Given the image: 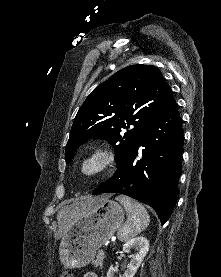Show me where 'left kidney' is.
Returning <instances> with one entry per match:
<instances>
[{
    "mask_svg": "<svg viewBox=\"0 0 221 277\" xmlns=\"http://www.w3.org/2000/svg\"><path fill=\"white\" fill-rule=\"evenodd\" d=\"M132 248L136 250V253L131 258L124 275L120 277H134L137 269L140 267L144 257L149 251V241L143 236L132 238L124 244L123 251L129 253ZM116 273L117 269L112 265L108 270L107 277H116Z\"/></svg>",
    "mask_w": 221,
    "mask_h": 277,
    "instance_id": "left-kidney-1",
    "label": "left kidney"
}]
</instances>
